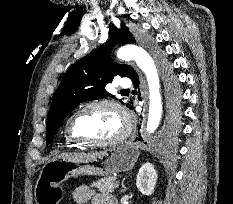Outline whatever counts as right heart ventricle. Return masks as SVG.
I'll list each match as a JSON object with an SVG mask.
<instances>
[{"label": "right heart ventricle", "instance_id": "right-heart-ventricle-1", "mask_svg": "<svg viewBox=\"0 0 233 204\" xmlns=\"http://www.w3.org/2000/svg\"><path fill=\"white\" fill-rule=\"evenodd\" d=\"M64 139H65V143L67 144L68 147H77V148H80L82 147L84 144L80 143V142H77L73 139H71L68 134H67V131L65 130L64 132Z\"/></svg>", "mask_w": 233, "mask_h": 204}]
</instances>
